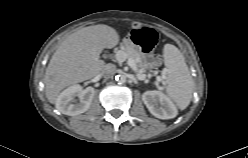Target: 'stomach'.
Returning a JSON list of instances; mask_svg holds the SVG:
<instances>
[{
    "label": "stomach",
    "instance_id": "0dacf381",
    "mask_svg": "<svg viewBox=\"0 0 248 158\" xmlns=\"http://www.w3.org/2000/svg\"><path fill=\"white\" fill-rule=\"evenodd\" d=\"M130 43H132V42H130ZM144 59L148 63V68H153L156 65L154 62L152 53L144 54Z\"/></svg>",
    "mask_w": 248,
    "mask_h": 158
}]
</instances>
